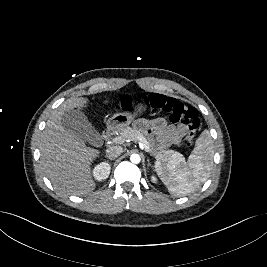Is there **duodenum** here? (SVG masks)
<instances>
[{
	"label": "duodenum",
	"instance_id": "obj_1",
	"mask_svg": "<svg viewBox=\"0 0 267 267\" xmlns=\"http://www.w3.org/2000/svg\"><path fill=\"white\" fill-rule=\"evenodd\" d=\"M114 133V128L112 126L107 127L103 132V138L108 140Z\"/></svg>",
	"mask_w": 267,
	"mask_h": 267
}]
</instances>
